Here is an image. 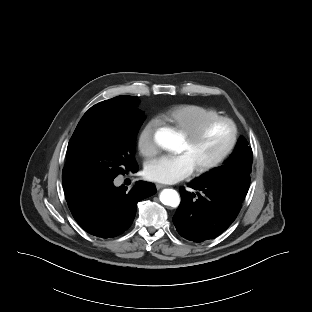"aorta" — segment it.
Returning <instances> with one entry per match:
<instances>
[{
  "mask_svg": "<svg viewBox=\"0 0 312 312\" xmlns=\"http://www.w3.org/2000/svg\"><path fill=\"white\" fill-rule=\"evenodd\" d=\"M155 142L165 149H173L175 140L172 132L167 128H161L155 133ZM160 201L164 205L177 207L180 204V197L176 190L164 189L160 194Z\"/></svg>",
  "mask_w": 312,
  "mask_h": 312,
  "instance_id": "aorta-1",
  "label": "aorta"
}]
</instances>
